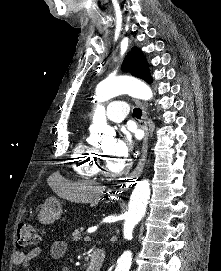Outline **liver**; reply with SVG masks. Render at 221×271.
<instances>
[{"instance_id": "obj_1", "label": "liver", "mask_w": 221, "mask_h": 271, "mask_svg": "<svg viewBox=\"0 0 221 271\" xmlns=\"http://www.w3.org/2000/svg\"><path fill=\"white\" fill-rule=\"evenodd\" d=\"M59 181H63L61 175H59V179L53 181V185L56 187ZM63 187V191H58L57 189V193L64 199L75 201V203H91V205L98 203L97 191H104L102 185H96L91 179H81V181H76V183H64L63 181Z\"/></svg>"}]
</instances>
